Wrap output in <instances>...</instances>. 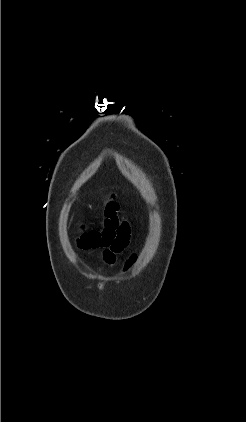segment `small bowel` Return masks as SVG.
Listing matches in <instances>:
<instances>
[{
    "mask_svg": "<svg viewBox=\"0 0 246 422\" xmlns=\"http://www.w3.org/2000/svg\"><path fill=\"white\" fill-rule=\"evenodd\" d=\"M118 210L117 203H109L103 228L86 232L79 239V245L83 249H103V258L109 264L115 262L116 255L127 247L130 239V226L118 218ZM129 264L130 262L127 263L126 268Z\"/></svg>",
    "mask_w": 246,
    "mask_h": 422,
    "instance_id": "obj_1",
    "label": "small bowel"
}]
</instances>
